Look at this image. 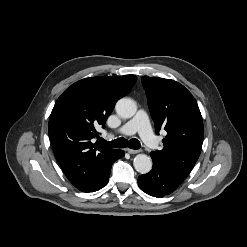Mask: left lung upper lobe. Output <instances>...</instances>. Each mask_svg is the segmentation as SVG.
I'll return each mask as SVG.
<instances>
[{
    "label": "left lung upper lobe",
    "instance_id": "5c2ea615",
    "mask_svg": "<svg viewBox=\"0 0 247 247\" xmlns=\"http://www.w3.org/2000/svg\"><path fill=\"white\" fill-rule=\"evenodd\" d=\"M155 131L167 132L164 148L151 152L153 161L187 177L200 155L204 137L202 116L192 94L180 83L164 78L142 77Z\"/></svg>",
    "mask_w": 247,
    "mask_h": 247
}]
</instances>
